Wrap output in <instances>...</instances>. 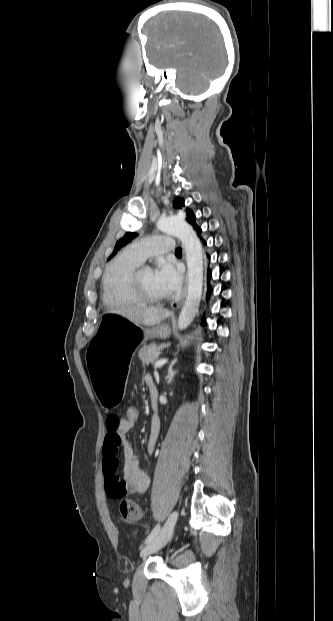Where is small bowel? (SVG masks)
<instances>
[{"mask_svg": "<svg viewBox=\"0 0 333 621\" xmlns=\"http://www.w3.org/2000/svg\"><path fill=\"white\" fill-rule=\"evenodd\" d=\"M146 383L147 385L154 384L150 375L146 376ZM133 426L124 417L115 414H111L107 418V434L102 454L105 489L111 498H122L127 494H143L150 485V476L139 468L134 448L126 437ZM159 430L158 417L153 416L147 440L148 453H152L154 450ZM120 453L123 456L121 467Z\"/></svg>", "mask_w": 333, "mask_h": 621, "instance_id": "1", "label": "small bowel"}]
</instances>
